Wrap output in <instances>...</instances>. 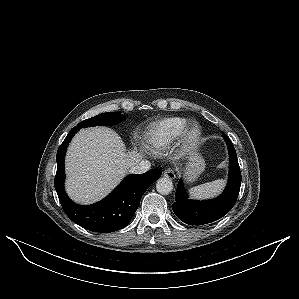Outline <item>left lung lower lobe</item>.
<instances>
[{"label": "left lung lower lobe", "instance_id": "1", "mask_svg": "<svg viewBox=\"0 0 299 299\" xmlns=\"http://www.w3.org/2000/svg\"><path fill=\"white\" fill-rule=\"evenodd\" d=\"M223 138L229 149V180L219 197L207 201L189 200L182 180L178 182L176 201L172 204V209L175 215L186 224L203 225L214 222L226 215L236 203L241 185V172L231 140L225 133Z\"/></svg>", "mask_w": 299, "mask_h": 299}]
</instances>
